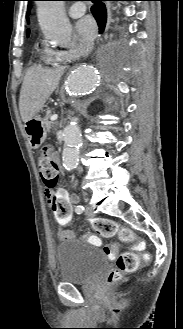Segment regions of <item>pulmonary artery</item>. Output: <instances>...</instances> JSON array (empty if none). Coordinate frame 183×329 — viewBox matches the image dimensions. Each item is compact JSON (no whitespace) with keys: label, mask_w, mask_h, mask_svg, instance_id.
I'll list each match as a JSON object with an SVG mask.
<instances>
[{"label":"pulmonary artery","mask_w":183,"mask_h":329,"mask_svg":"<svg viewBox=\"0 0 183 329\" xmlns=\"http://www.w3.org/2000/svg\"><path fill=\"white\" fill-rule=\"evenodd\" d=\"M86 11V6L82 2H76L69 8V15L72 18H78L82 16Z\"/></svg>","instance_id":"e3ab8cb5"}]
</instances>
